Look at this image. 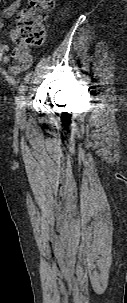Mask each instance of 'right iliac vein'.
<instances>
[{
	"label": "right iliac vein",
	"mask_w": 127,
	"mask_h": 303,
	"mask_svg": "<svg viewBox=\"0 0 127 303\" xmlns=\"http://www.w3.org/2000/svg\"><path fill=\"white\" fill-rule=\"evenodd\" d=\"M26 104H27V97L24 96L21 98L20 102L18 103L16 110V119L18 122H22L25 119Z\"/></svg>",
	"instance_id": "right-iliac-vein-1"
}]
</instances>
